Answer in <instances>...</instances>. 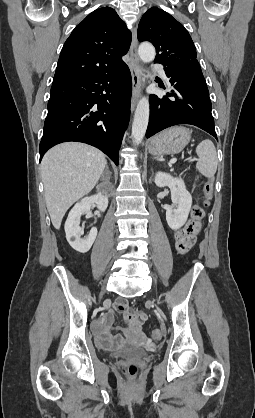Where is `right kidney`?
<instances>
[{
	"label": "right kidney",
	"instance_id": "right-kidney-1",
	"mask_svg": "<svg viewBox=\"0 0 255 418\" xmlns=\"http://www.w3.org/2000/svg\"><path fill=\"white\" fill-rule=\"evenodd\" d=\"M96 205L98 210L104 212L108 206V198L102 193L83 198L77 202L69 212L65 222L66 239L70 246L80 253H86L90 250L97 237V228L93 227L87 238L81 237L80 217L84 214H91V206Z\"/></svg>",
	"mask_w": 255,
	"mask_h": 418
}]
</instances>
